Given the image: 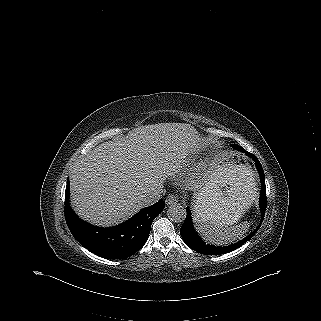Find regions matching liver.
I'll list each match as a JSON object with an SVG mask.
<instances>
[{
    "label": "liver",
    "mask_w": 321,
    "mask_h": 321,
    "mask_svg": "<svg viewBox=\"0 0 321 321\" xmlns=\"http://www.w3.org/2000/svg\"><path fill=\"white\" fill-rule=\"evenodd\" d=\"M203 146L196 129L185 123L141 126L126 137L104 142L76 162L70 176L71 203L83 219L98 226L116 225L145 205L142 196L163 188L182 162V154Z\"/></svg>",
    "instance_id": "liver-1"
}]
</instances>
